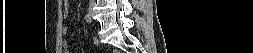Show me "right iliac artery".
Instances as JSON below:
<instances>
[{
  "instance_id": "right-iliac-artery-1",
  "label": "right iliac artery",
  "mask_w": 253,
  "mask_h": 53,
  "mask_svg": "<svg viewBox=\"0 0 253 53\" xmlns=\"http://www.w3.org/2000/svg\"><path fill=\"white\" fill-rule=\"evenodd\" d=\"M85 20H86L87 23H91L92 18H91V16L89 14H86L85 15Z\"/></svg>"
}]
</instances>
